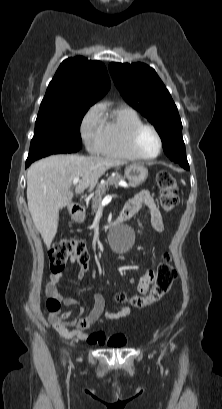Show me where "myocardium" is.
<instances>
[{
	"label": "myocardium",
	"instance_id": "obj_1",
	"mask_svg": "<svg viewBox=\"0 0 222 409\" xmlns=\"http://www.w3.org/2000/svg\"><path fill=\"white\" fill-rule=\"evenodd\" d=\"M144 130H151V131L156 135V137H157L158 144H159V148H158V152H157L155 155H153V156H146V155H144V154L140 151V149H139L138 139H139V136L141 135V133H142ZM129 146H130L131 151H132L139 159H141V160H154V159L158 158V157L160 156V154L162 153V150H163V140H162V137H161L159 131H158L154 126H152V125H150V124H144V123H143V124L138 125L137 127H135V128L133 129V131L131 132L130 138H129Z\"/></svg>",
	"mask_w": 222,
	"mask_h": 409
}]
</instances>
